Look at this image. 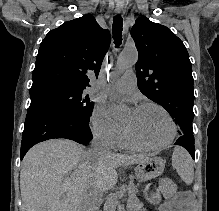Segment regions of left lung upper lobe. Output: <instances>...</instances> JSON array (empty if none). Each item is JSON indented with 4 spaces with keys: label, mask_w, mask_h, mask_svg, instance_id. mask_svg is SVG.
Listing matches in <instances>:
<instances>
[{
    "label": "left lung upper lobe",
    "mask_w": 219,
    "mask_h": 211,
    "mask_svg": "<svg viewBox=\"0 0 219 211\" xmlns=\"http://www.w3.org/2000/svg\"><path fill=\"white\" fill-rule=\"evenodd\" d=\"M131 36L138 49V88L160 104L178 124L179 135H193V76L183 42L166 26L146 17L136 20Z\"/></svg>",
    "instance_id": "obj_1"
}]
</instances>
